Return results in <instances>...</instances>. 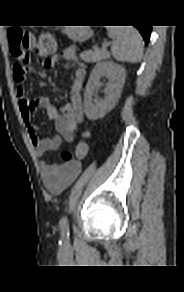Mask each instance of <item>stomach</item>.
<instances>
[{
  "instance_id": "0dacf381",
  "label": "stomach",
  "mask_w": 184,
  "mask_h": 292,
  "mask_svg": "<svg viewBox=\"0 0 184 292\" xmlns=\"http://www.w3.org/2000/svg\"><path fill=\"white\" fill-rule=\"evenodd\" d=\"M64 32L73 41H84L91 36V31L81 26H66Z\"/></svg>"
}]
</instances>
